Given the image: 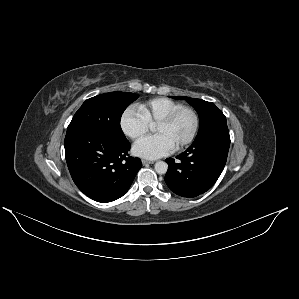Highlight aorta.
<instances>
[{"label":"aorta","mask_w":299,"mask_h":299,"mask_svg":"<svg viewBox=\"0 0 299 299\" xmlns=\"http://www.w3.org/2000/svg\"><path fill=\"white\" fill-rule=\"evenodd\" d=\"M154 169L158 174H165L168 170V165L164 161H158L155 163Z\"/></svg>","instance_id":"762f6f07"}]
</instances>
